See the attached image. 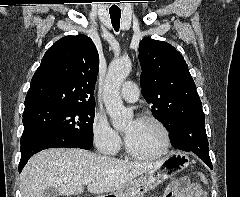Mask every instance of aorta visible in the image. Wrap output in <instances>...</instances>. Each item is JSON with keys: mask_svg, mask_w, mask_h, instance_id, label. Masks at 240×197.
Returning a JSON list of instances; mask_svg holds the SVG:
<instances>
[{"mask_svg": "<svg viewBox=\"0 0 240 197\" xmlns=\"http://www.w3.org/2000/svg\"><path fill=\"white\" fill-rule=\"evenodd\" d=\"M131 71V61L127 58L114 60L108 67L104 84L103 100L115 129L121 130L133 118V111L123 105L120 87Z\"/></svg>", "mask_w": 240, "mask_h": 197, "instance_id": "aorta-1", "label": "aorta"}]
</instances>
